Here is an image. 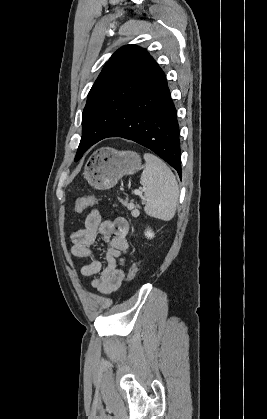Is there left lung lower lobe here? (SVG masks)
I'll return each mask as SVG.
<instances>
[{
	"label": "left lung lower lobe",
	"mask_w": 267,
	"mask_h": 419,
	"mask_svg": "<svg viewBox=\"0 0 267 419\" xmlns=\"http://www.w3.org/2000/svg\"><path fill=\"white\" fill-rule=\"evenodd\" d=\"M108 137L135 141L176 169L181 177L179 125L164 72L161 70L122 112L111 114L87 148Z\"/></svg>",
	"instance_id": "left-lung-lower-lobe-1"
}]
</instances>
